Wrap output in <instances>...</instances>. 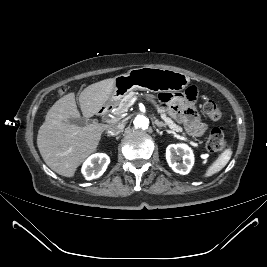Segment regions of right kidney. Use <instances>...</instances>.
<instances>
[{
  "label": "right kidney",
  "mask_w": 267,
  "mask_h": 267,
  "mask_svg": "<svg viewBox=\"0 0 267 267\" xmlns=\"http://www.w3.org/2000/svg\"><path fill=\"white\" fill-rule=\"evenodd\" d=\"M110 163L108 155L103 153H96L91 155L82 166V174L86 180L99 178L107 169Z\"/></svg>",
  "instance_id": "right-kidney-1"
}]
</instances>
